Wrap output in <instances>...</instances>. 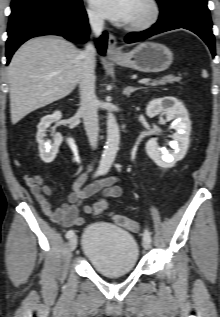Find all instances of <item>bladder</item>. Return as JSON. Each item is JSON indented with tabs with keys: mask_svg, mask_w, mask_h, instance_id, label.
<instances>
[{
	"mask_svg": "<svg viewBox=\"0 0 220 317\" xmlns=\"http://www.w3.org/2000/svg\"><path fill=\"white\" fill-rule=\"evenodd\" d=\"M82 254L96 272L107 276L132 273L140 257L138 243L131 233L105 223L85 228Z\"/></svg>",
	"mask_w": 220,
	"mask_h": 317,
	"instance_id": "obj_1",
	"label": "bladder"
}]
</instances>
